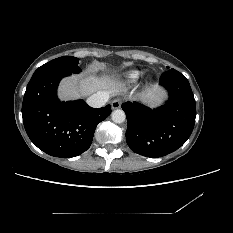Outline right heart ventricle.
Listing matches in <instances>:
<instances>
[{
    "mask_svg": "<svg viewBox=\"0 0 233 233\" xmlns=\"http://www.w3.org/2000/svg\"><path fill=\"white\" fill-rule=\"evenodd\" d=\"M142 73L140 71H129L124 74V78L128 82H136L140 77Z\"/></svg>",
    "mask_w": 233,
    "mask_h": 233,
    "instance_id": "obj_1",
    "label": "right heart ventricle"
}]
</instances>
